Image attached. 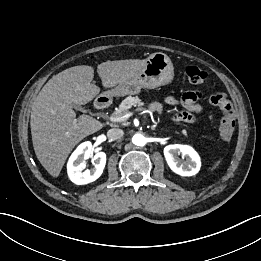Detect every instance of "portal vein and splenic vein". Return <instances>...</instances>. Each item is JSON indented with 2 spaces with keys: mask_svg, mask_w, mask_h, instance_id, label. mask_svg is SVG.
I'll return each mask as SVG.
<instances>
[{
  "mask_svg": "<svg viewBox=\"0 0 261 261\" xmlns=\"http://www.w3.org/2000/svg\"><path fill=\"white\" fill-rule=\"evenodd\" d=\"M132 115L131 112L123 115V116H116L115 114H112L111 116H109V120L111 122H123L124 120H126L127 118H129Z\"/></svg>",
  "mask_w": 261,
  "mask_h": 261,
  "instance_id": "portal-vein-and-splenic-vein-1",
  "label": "portal vein and splenic vein"
}]
</instances>
